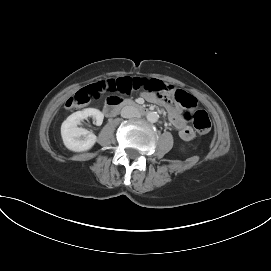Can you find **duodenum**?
Wrapping results in <instances>:
<instances>
[{
    "mask_svg": "<svg viewBox=\"0 0 271 271\" xmlns=\"http://www.w3.org/2000/svg\"><path fill=\"white\" fill-rule=\"evenodd\" d=\"M122 107H132L134 108L139 114H145L147 110L143 108L142 106L129 101V100H123L119 98H111L107 101L105 108H104V113L107 117H113L117 114V112L122 108Z\"/></svg>",
    "mask_w": 271,
    "mask_h": 271,
    "instance_id": "410a0bca",
    "label": "duodenum"
}]
</instances>
